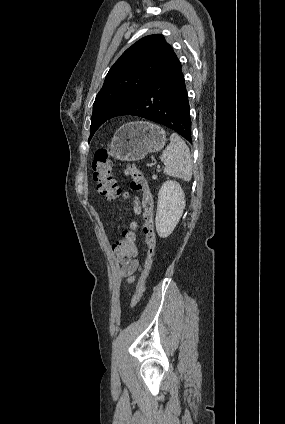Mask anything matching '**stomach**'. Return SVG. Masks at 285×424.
I'll list each match as a JSON object with an SVG mask.
<instances>
[{
    "label": "stomach",
    "instance_id": "stomach-1",
    "mask_svg": "<svg viewBox=\"0 0 285 424\" xmlns=\"http://www.w3.org/2000/svg\"><path fill=\"white\" fill-rule=\"evenodd\" d=\"M165 143L166 133L161 127L143 121L130 122L116 131L109 154L118 160L137 161L160 151Z\"/></svg>",
    "mask_w": 285,
    "mask_h": 424
}]
</instances>
